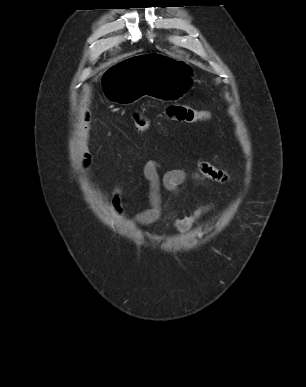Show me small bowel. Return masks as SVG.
<instances>
[{"instance_id":"obj_1","label":"small bowel","mask_w":306,"mask_h":387,"mask_svg":"<svg viewBox=\"0 0 306 387\" xmlns=\"http://www.w3.org/2000/svg\"><path fill=\"white\" fill-rule=\"evenodd\" d=\"M89 139V125L86 118L82 127V155L80 165L86 169L91 164V155L86 150ZM162 164L159 160H149L143 165V175L148 182V200L150 207L137 213L134 223L138 225H152L157 223L162 215V189L167 190L176 198H180L183 185L191 180L199 186H208L212 183L223 184L229 180L226 171L214 166L209 161L199 160L196 170L189 174L183 169H170L163 174L160 173ZM122 194L121 186H116L112 192V212L115 216L122 214ZM211 205H203L197 208L192 214L178 218L174 221V228L178 232L188 231L193 224L201 219L211 210Z\"/></svg>"}]
</instances>
